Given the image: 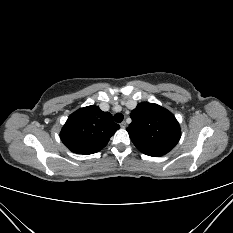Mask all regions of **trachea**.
<instances>
[{
  "mask_svg": "<svg viewBox=\"0 0 233 233\" xmlns=\"http://www.w3.org/2000/svg\"><path fill=\"white\" fill-rule=\"evenodd\" d=\"M123 119H124V115H123L122 113H116V114L114 115V120H115V122H117V123L122 122Z\"/></svg>",
  "mask_w": 233,
  "mask_h": 233,
  "instance_id": "trachea-1",
  "label": "trachea"
}]
</instances>
